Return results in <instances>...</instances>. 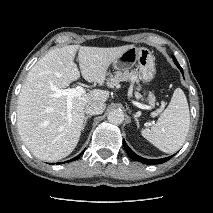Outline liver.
Wrapping results in <instances>:
<instances>
[{
    "label": "liver",
    "instance_id": "obj_1",
    "mask_svg": "<svg viewBox=\"0 0 213 213\" xmlns=\"http://www.w3.org/2000/svg\"><path fill=\"white\" fill-rule=\"evenodd\" d=\"M133 45L101 48L70 45L50 50L29 71L17 106V128L24 145L43 161L65 158L78 144L85 119V106L106 102L109 91L93 89L72 99L56 97L52 87L65 89L80 77L102 85L108 67ZM78 52L80 71L74 62Z\"/></svg>",
    "mask_w": 213,
    "mask_h": 213
}]
</instances>
